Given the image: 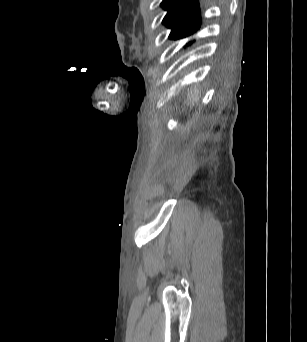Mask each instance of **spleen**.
Wrapping results in <instances>:
<instances>
[{
    "label": "spleen",
    "mask_w": 307,
    "mask_h": 342,
    "mask_svg": "<svg viewBox=\"0 0 307 342\" xmlns=\"http://www.w3.org/2000/svg\"><path fill=\"white\" fill-rule=\"evenodd\" d=\"M199 90L198 88H194L193 92H191L190 96H189V100H192V102H197V100H199Z\"/></svg>",
    "instance_id": "obj_1"
}]
</instances>
